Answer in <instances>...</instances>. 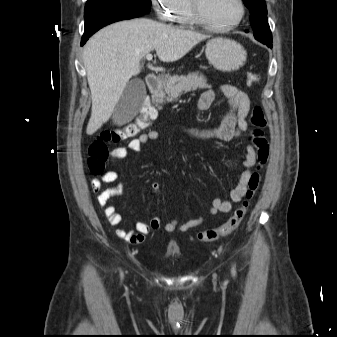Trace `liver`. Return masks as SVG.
Segmentation results:
<instances>
[{
    "mask_svg": "<svg viewBox=\"0 0 337 337\" xmlns=\"http://www.w3.org/2000/svg\"><path fill=\"white\" fill-rule=\"evenodd\" d=\"M206 37L146 18L117 22L98 31L83 51L92 98L86 133L94 134L109 120L130 78L140 73L144 56L156 50L161 61L174 62Z\"/></svg>",
    "mask_w": 337,
    "mask_h": 337,
    "instance_id": "liver-1",
    "label": "liver"
}]
</instances>
